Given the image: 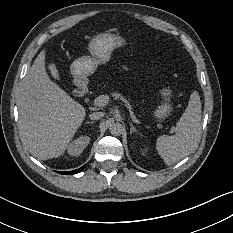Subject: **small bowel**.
Wrapping results in <instances>:
<instances>
[{
    "label": "small bowel",
    "mask_w": 233,
    "mask_h": 233,
    "mask_svg": "<svg viewBox=\"0 0 233 233\" xmlns=\"http://www.w3.org/2000/svg\"><path fill=\"white\" fill-rule=\"evenodd\" d=\"M123 68H124V69H126L127 67H126V66H124Z\"/></svg>",
    "instance_id": "1"
}]
</instances>
